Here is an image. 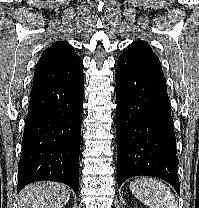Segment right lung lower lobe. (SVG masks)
Segmentation results:
<instances>
[{
  "label": "right lung lower lobe",
  "mask_w": 199,
  "mask_h": 208,
  "mask_svg": "<svg viewBox=\"0 0 199 208\" xmlns=\"http://www.w3.org/2000/svg\"><path fill=\"white\" fill-rule=\"evenodd\" d=\"M84 76L58 85L32 89L22 153L19 192L41 180L59 181L78 194Z\"/></svg>",
  "instance_id": "1"
}]
</instances>
